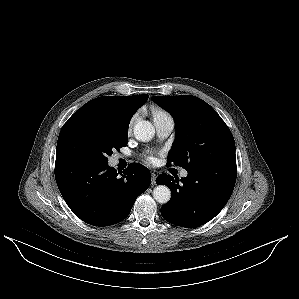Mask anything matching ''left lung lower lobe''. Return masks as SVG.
Returning <instances> with one entry per match:
<instances>
[{
  "label": "left lung lower lobe",
  "instance_id": "left-lung-lower-lobe-1",
  "mask_svg": "<svg viewBox=\"0 0 299 299\" xmlns=\"http://www.w3.org/2000/svg\"><path fill=\"white\" fill-rule=\"evenodd\" d=\"M187 171L181 182L161 174L156 183L168 186L172 193L161 207L163 218L177 226L196 228L213 219L228 202L236 182V159L208 161Z\"/></svg>",
  "mask_w": 299,
  "mask_h": 299
}]
</instances>
